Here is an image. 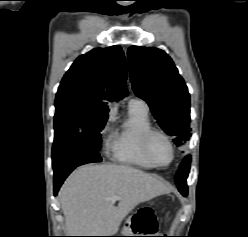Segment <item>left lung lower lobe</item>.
I'll use <instances>...</instances> for the list:
<instances>
[{
  "label": "left lung lower lobe",
  "instance_id": "0a47b994",
  "mask_svg": "<svg viewBox=\"0 0 248 237\" xmlns=\"http://www.w3.org/2000/svg\"><path fill=\"white\" fill-rule=\"evenodd\" d=\"M190 162H191V158H190V156H187L184 159V161L182 162V164L180 165V169L177 173H182V172H188L189 173ZM176 185L178 186V190L181 192V194L183 196H187L188 188H187L186 182L179 183L176 181Z\"/></svg>",
  "mask_w": 248,
  "mask_h": 237
}]
</instances>
